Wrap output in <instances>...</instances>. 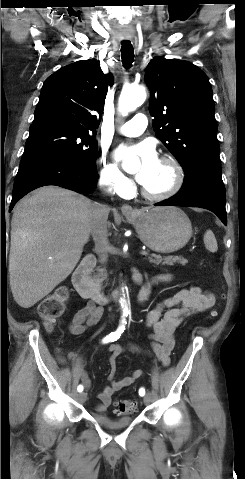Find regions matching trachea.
<instances>
[{
  "instance_id": "trachea-1",
  "label": "trachea",
  "mask_w": 245,
  "mask_h": 479,
  "mask_svg": "<svg viewBox=\"0 0 245 479\" xmlns=\"http://www.w3.org/2000/svg\"><path fill=\"white\" fill-rule=\"evenodd\" d=\"M121 45L122 63L126 69H129L134 61V49L130 41H122Z\"/></svg>"
}]
</instances>
